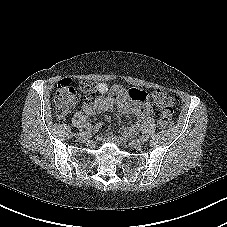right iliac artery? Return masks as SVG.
<instances>
[{
	"instance_id": "obj_1",
	"label": "right iliac artery",
	"mask_w": 227,
	"mask_h": 227,
	"mask_svg": "<svg viewBox=\"0 0 227 227\" xmlns=\"http://www.w3.org/2000/svg\"><path fill=\"white\" fill-rule=\"evenodd\" d=\"M101 126H102V123H101V122H98V123L96 124V126H94V125L89 126V124H88V125H80V130L96 131V130H98Z\"/></svg>"
}]
</instances>
